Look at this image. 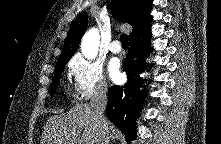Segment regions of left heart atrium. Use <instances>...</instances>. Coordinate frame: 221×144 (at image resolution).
<instances>
[{
    "label": "left heart atrium",
    "instance_id": "left-heart-atrium-1",
    "mask_svg": "<svg viewBox=\"0 0 221 144\" xmlns=\"http://www.w3.org/2000/svg\"><path fill=\"white\" fill-rule=\"evenodd\" d=\"M109 73H110V76L111 78L114 80V81H118L120 79V67H119V64L117 62H112L109 66Z\"/></svg>",
    "mask_w": 221,
    "mask_h": 144
}]
</instances>
